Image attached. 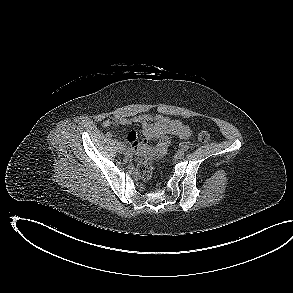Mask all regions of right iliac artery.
<instances>
[{
  "instance_id": "obj_1",
  "label": "right iliac artery",
  "mask_w": 293,
  "mask_h": 293,
  "mask_svg": "<svg viewBox=\"0 0 293 293\" xmlns=\"http://www.w3.org/2000/svg\"><path fill=\"white\" fill-rule=\"evenodd\" d=\"M113 143L118 144V143H120V142H118L116 139H114V140H113Z\"/></svg>"
}]
</instances>
